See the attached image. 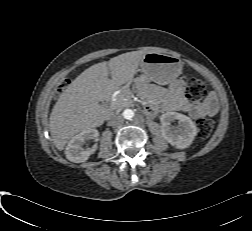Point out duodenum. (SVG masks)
<instances>
[{
  "mask_svg": "<svg viewBox=\"0 0 252 231\" xmlns=\"http://www.w3.org/2000/svg\"><path fill=\"white\" fill-rule=\"evenodd\" d=\"M113 93H114V91H112V93H111V95H110V96H112V95H113Z\"/></svg>",
  "mask_w": 252,
  "mask_h": 231,
  "instance_id": "1",
  "label": "duodenum"
}]
</instances>
